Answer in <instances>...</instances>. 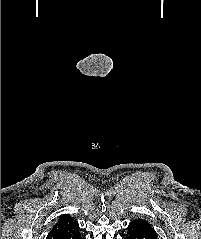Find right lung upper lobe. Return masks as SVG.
I'll return each instance as SVG.
<instances>
[{
    "label": "right lung upper lobe",
    "mask_w": 201,
    "mask_h": 239,
    "mask_svg": "<svg viewBox=\"0 0 201 239\" xmlns=\"http://www.w3.org/2000/svg\"><path fill=\"white\" fill-rule=\"evenodd\" d=\"M79 224L72 217L65 214L59 217L52 227L47 239H79Z\"/></svg>",
    "instance_id": "1"
}]
</instances>
